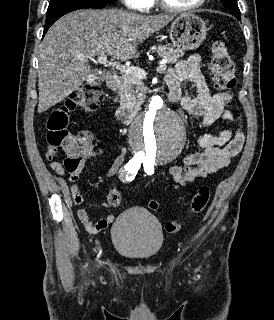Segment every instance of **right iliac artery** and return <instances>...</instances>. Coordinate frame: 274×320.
<instances>
[{
    "instance_id": "obj_1",
    "label": "right iliac artery",
    "mask_w": 274,
    "mask_h": 320,
    "mask_svg": "<svg viewBox=\"0 0 274 320\" xmlns=\"http://www.w3.org/2000/svg\"><path fill=\"white\" fill-rule=\"evenodd\" d=\"M142 163V159L139 158H132L126 165H125V170L128 172V174L130 173V176L132 175H136L138 169L140 168ZM128 177V175L126 176ZM133 177H131L132 179ZM130 179V177L128 178V180Z\"/></svg>"
}]
</instances>
